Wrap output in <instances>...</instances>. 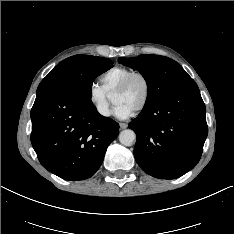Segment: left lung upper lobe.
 I'll return each instance as SVG.
<instances>
[{"mask_svg": "<svg viewBox=\"0 0 234 234\" xmlns=\"http://www.w3.org/2000/svg\"><path fill=\"white\" fill-rule=\"evenodd\" d=\"M118 62L138 70L148 85V96L143 110H149L176 90L194 80L176 61L159 55L119 57Z\"/></svg>", "mask_w": 234, "mask_h": 234, "instance_id": "obj_1", "label": "left lung upper lobe"}]
</instances>
